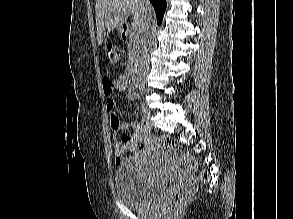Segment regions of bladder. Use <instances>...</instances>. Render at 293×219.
<instances>
[{
	"instance_id": "1",
	"label": "bladder",
	"mask_w": 293,
	"mask_h": 219,
	"mask_svg": "<svg viewBox=\"0 0 293 219\" xmlns=\"http://www.w3.org/2000/svg\"><path fill=\"white\" fill-rule=\"evenodd\" d=\"M161 155L167 157L166 152ZM165 179L150 180L133 165H121L114 175L117 198L130 207H144L158 197L165 189Z\"/></svg>"
}]
</instances>
